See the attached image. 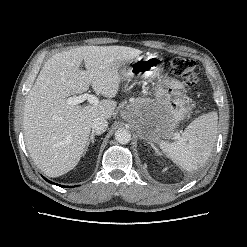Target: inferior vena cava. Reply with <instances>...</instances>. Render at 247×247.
I'll list each match as a JSON object with an SVG mask.
<instances>
[{
	"instance_id": "obj_1",
	"label": "inferior vena cava",
	"mask_w": 247,
	"mask_h": 247,
	"mask_svg": "<svg viewBox=\"0 0 247 247\" xmlns=\"http://www.w3.org/2000/svg\"><path fill=\"white\" fill-rule=\"evenodd\" d=\"M92 132L101 134L108 128V121L104 117H96L91 122Z\"/></svg>"
}]
</instances>
